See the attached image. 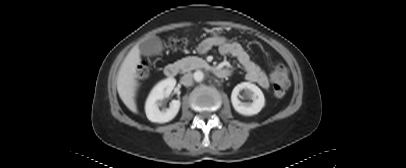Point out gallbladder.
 <instances>
[{
	"instance_id": "bac80fb5",
	"label": "gallbladder",
	"mask_w": 406,
	"mask_h": 168,
	"mask_svg": "<svg viewBox=\"0 0 406 168\" xmlns=\"http://www.w3.org/2000/svg\"><path fill=\"white\" fill-rule=\"evenodd\" d=\"M139 50L143 55H158L163 50L162 41L158 36H151L147 40H144L139 45Z\"/></svg>"
}]
</instances>
